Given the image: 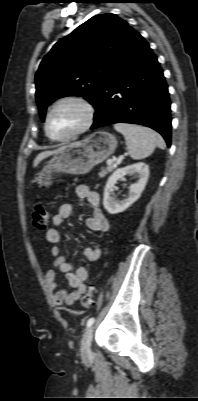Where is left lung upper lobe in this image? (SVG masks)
<instances>
[{
  "instance_id": "obj_1",
  "label": "left lung upper lobe",
  "mask_w": 198,
  "mask_h": 401,
  "mask_svg": "<svg viewBox=\"0 0 198 401\" xmlns=\"http://www.w3.org/2000/svg\"><path fill=\"white\" fill-rule=\"evenodd\" d=\"M137 31L115 14L96 15L60 39L36 73V101L42 120L49 104L84 96L94 107L102 87Z\"/></svg>"
}]
</instances>
